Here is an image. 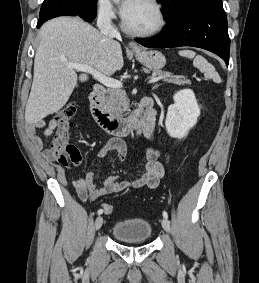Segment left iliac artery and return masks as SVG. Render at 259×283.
<instances>
[{"label":"left iliac artery","instance_id":"obj_1","mask_svg":"<svg viewBox=\"0 0 259 283\" xmlns=\"http://www.w3.org/2000/svg\"><path fill=\"white\" fill-rule=\"evenodd\" d=\"M163 217L166 218V219L168 218V214H167L166 211H163Z\"/></svg>","mask_w":259,"mask_h":283}]
</instances>
